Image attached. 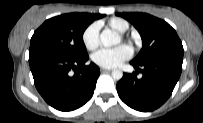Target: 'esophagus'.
Listing matches in <instances>:
<instances>
[{"mask_svg": "<svg viewBox=\"0 0 203 123\" xmlns=\"http://www.w3.org/2000/svg\"><path fill=\"white\" fill-rule=\"evenodd\" d=\"M101 72L106 73L112 71V69L101 68Z\"/></svg>", "mask_w": 203, "mask_h": 123, "instance_id": "1", "label": "esophagus"}]
</instances>
